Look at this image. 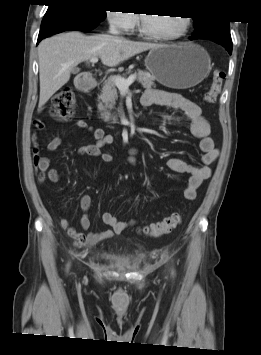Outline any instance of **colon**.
I'll return each mask as SVG.
<instances>
[{
    "label": "colon",
    "instance_id": "obj_1",
    "mask_svg": "<svg viewBox=\"0 0 261 355\" xmlns=\"http://www.w3.org/2000/svg\"><path fill=\"white\" fill-rule=\"evenodd\" d=\"M226 74L224 70L218 69L213 73L210 87L204 95V101L207 104L216 102L218 95L221 92L222 85ZM75 95L70 87H64L59 90L51 100V112L57 121L68 122L71 121L75 113ZM182 220L180 212H174L163 220L151 223L141 228L142 233L150 237H158L170 233L174 230Z\"/></svg>",
    "mask_w": 261,
    "mask_h": 355
}]
</instances>
